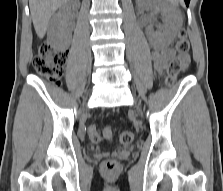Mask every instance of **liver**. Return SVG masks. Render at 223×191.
I'll list each match as a JSON object with an SVG mask.
<instances>
[{"label":"liver","mask_w":223,"mask_h":191,"mask_svg":"<svg viewBox=\"0 0 223 191\" xmlns=\"http://www.w3.org/2000/svg\"><path fill=\"white\" fill-rule=\"evenodd\" d=\"M68 0H29L30 12L35 31L39 38H43L51 16Z\"/></svg>","instance_id":"liver-1"}]
</instances>
